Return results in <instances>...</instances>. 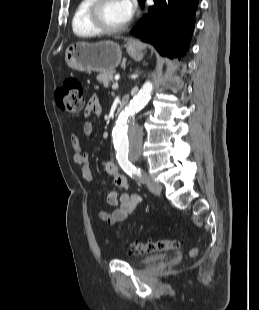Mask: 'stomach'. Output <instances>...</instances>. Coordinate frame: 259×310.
I'll return each mask as SVG.
<instances>
[{
	"label": "stomach",
	"instance_id": "obj_1",
	"mask_svg": "<svg viewBox=\"0 0 259 310\" xmlns=\"http://www.w3.org/2000/svg\"><path fill=\"white\" fill-rule=\"evenodd\" d=\"M128 54L136 61H140L144 53L135 43L127 44ZM65 61L72 69L81 72H109L113 71L121 61L120 46L113 41L98 43L77 42L67 47Z\"/></svg>",
	"mask_w": 259,
	"mask_h": 310
}]
</instances>
